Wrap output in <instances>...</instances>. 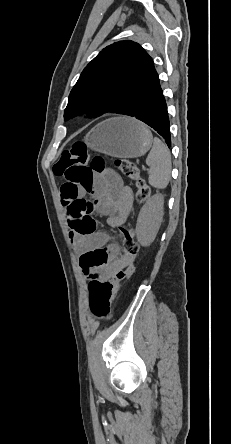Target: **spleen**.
Listing matches in <instances>:
<instances>
[{
    "mask_svg": "<svg viewBox=\"0 0 231 444\" xmlns=\"http://www.w3.org/2000/svg\"><path fill=\"white\" fill-rule=\"evenodd\" d=\"M150 167L149 184L157 189H164L171 177V154L167 146L159 139H153V146L146 158Z\"/></svg>",
    "mask_w": 231,
    "mask_h": 444,
    "instance_id": "spleen-1",
    "label": "spleen"
}]
</instances>
